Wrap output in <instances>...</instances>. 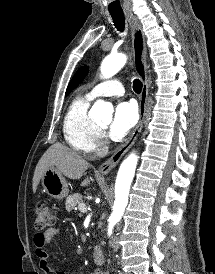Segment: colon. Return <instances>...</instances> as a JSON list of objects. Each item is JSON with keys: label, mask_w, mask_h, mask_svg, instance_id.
Listing matches in <instances>:
<instances>
[{"label": "colon", "mask_w": 215, "mask_h": 274, "mask_svg": "<svg viewBox=\"0 0 215 274\" xmlns=\"http://www.w3.org/2000/svg\"><path fill=\"white\" fill-rule=\"evenodd\" d=\"M55 218L54 215L45 202H39L36 205V219H35V228L38 231L45 230L50 228L54 224Z\"/></svg>", "instance_id": "obj_1"}]
</instances>
